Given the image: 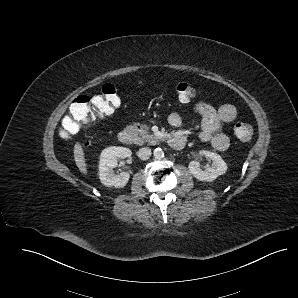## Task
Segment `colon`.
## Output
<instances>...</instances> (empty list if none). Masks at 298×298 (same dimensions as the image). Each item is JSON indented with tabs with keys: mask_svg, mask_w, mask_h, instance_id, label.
<instances>
[{
	"mask_svg": "<svg viewBox=\"0 0 298 298\" xmlns=\"http://www.w3.org/2000/svg\"><path fill=\"white\" fill-rule=\"evenodd\" d=\"M176 92L181 102H189L202 94L199 88L188 83L178 84ZM119 104L116 86L111 83L105 84L94 96H77L62 120L61 134L64 137L76 134L95 120L112 114ZM234 133L239 140L248 142L253 137V127L246 121H237Z\"/></svg>",
	"mask_w": 298,
	"mask_h": 298,
	"instance_id": "obj_1",
	"label": "colon"
}]
</instances>
